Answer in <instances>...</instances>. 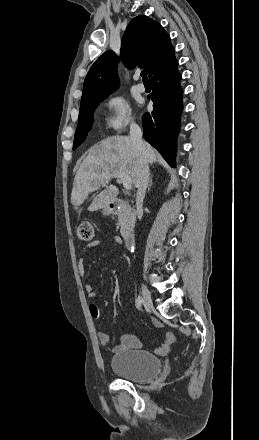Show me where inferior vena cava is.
<instances>
[{
	"mask_svg": "<svg viewBox=\"0 0 259 440\" xmlns=\"http://www.w3.org/2000/svg\"><path fill=\"white\" fill-rule=\"evenodd\" d=\"M130 139L134 143L136 149L139 151L141 155L145 152V146L144 142L142 141V131L141 128L136 123L130 124ZM149 166L146 161L143 160V157L141 158V166H140V173L138 176V190L136 195V209L137 214L140 217V214L142 213V206L143 201L145 198L146 189L149 182Z\"/></svg>",
	"mask_w": 259,
	"mask_h": 440,
	"instance_id": "obj_1",
	"label": "inferior vena cava"
}]
</instances>
